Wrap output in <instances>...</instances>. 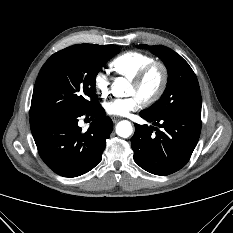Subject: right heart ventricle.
<instances>
[{"instance_id": "1", "label": "right heart ventricle", "mask_w": 233, "mask_h": 233, "mask_svg": "<svg viewBox=\"0 0 233 233\" xmlns=\"http://www.w3.org/2000/svg\"><path fill=\"white\" fill-rule=\"evenodd\" d=\"M152 61L154 58L149 54L128 51L115 57L110 63V68L116 75L131 79L141 68Z\"/></svg>"}]
</instances>
